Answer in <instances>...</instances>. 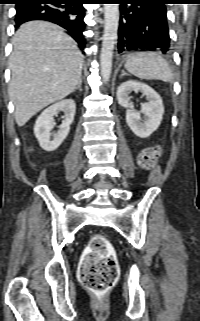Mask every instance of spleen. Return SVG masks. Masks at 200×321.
I'll return each instance as SVG.
<instances>
[{
	"instance_id": "obj_1",
	"label": "spleen",
	"mask_w": 200,
	"mask_h": 321,
	"mask_svg": "<svg viewBox=\"0 0 200 321\" xmlns=\"http://www.w3.org/2000/svg\"><path fill=\"white\" fill-rule=\"evenodd\" d=\"M125 69L140 79H159L169 82L173 79L169 63L154 52H140L130 55Z\"/></svg>"
}]
</instances>
